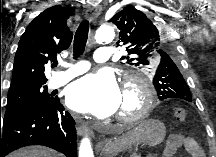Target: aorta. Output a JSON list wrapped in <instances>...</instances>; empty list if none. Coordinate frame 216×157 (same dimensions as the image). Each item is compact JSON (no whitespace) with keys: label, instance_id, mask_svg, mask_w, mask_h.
I'll use <instances>...</instances> for the list:
<instances>
[{"label":"aorta","instance_id":"1","mask_svg":"<svg viewBox=\"0 0 216 157\" xmlns=\"http://www.w3.org/2000/svg\"><path fill=\"white\" fill-rule=\"evenodd\" d=\"M115 37V30L113 25H102L100 26L95 34V39L98 43L103 42H110ZM116 150L110 151L109 153H106V156H115ZM79 157H94L93 150L91 148V143L88 138H84L81 141L80 148H79Z\"/></svg>","mask_w":216,"mask_h":157}]
</instances>
